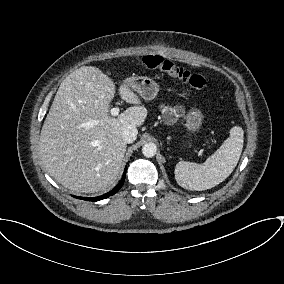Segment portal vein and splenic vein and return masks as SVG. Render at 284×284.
<instances>
[{
    "label": "portal vein and splenic vein",
    "mask_w": 284,
    "mask_h": 284,
    "mask_svg": "<svg viewBox=\"0 0 284 284\" xmlns=\"http://www.w3.org/2000/svg\"><path fill=\"white\" fill-rule=\"evenodd\" d=\"M120 109L118 107L112 108L110 113L112 116H117L119 114Z\"/></svg>",
    "instance_id": "portal-vein-and-splenic-vein-1"
}]
</instances>
